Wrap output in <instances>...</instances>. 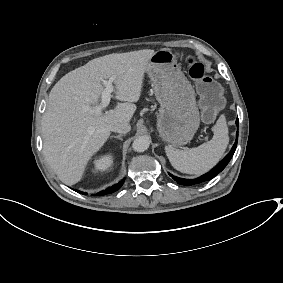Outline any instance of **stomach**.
Instances as JSON below:
<instances>
[{
  "instance_id": "0dacf381",
  "label": "stomach",
  "mask_w": 283,
  "mask_h": 283,
  "mask_svg": "<svg viewBox=\"0 0 283 283\" xmlns=\"http://www.w3.org/2000/svg\"><path fill=\"white\" fill-rule=\"evenodd\" d=\"M147 73L160 103L157 132L161 140L173 147L189 143L200 126L195 91L181 72L175 56L160 50L150 59Z\"/></svg>"
}]
</instances>
